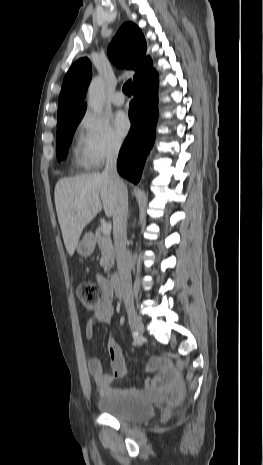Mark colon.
I'll list each match as a JSON object with an SVG mask.
<instances>
[{"mask_svg":"<svg viewBox=\"0 0 263 465\" xmlns=\"http://www.w3.org/2000/svg\"><path fill=\"white\" fill-rule=\"evenodd\" d=\"M105 290L99 284L83 283L78 288V298L86 308L97 306L103 299Z\"/></svg>","mask_w":263,"mask_h":465,"instance_id":"obj_1","label":"colon"}]
</instances>
